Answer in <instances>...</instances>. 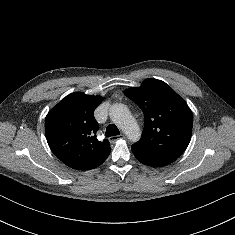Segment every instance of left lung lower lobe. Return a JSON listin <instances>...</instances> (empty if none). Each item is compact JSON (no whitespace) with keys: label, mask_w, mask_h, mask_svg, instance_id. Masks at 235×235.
Wrapping results in <instances>:
<instances>
[{"label":"left lung lower lobe","mask_w":235,"mask_h":235,"mask_svg":"<svg viewBox=\"0 0 235 235\" xmlns=\"http://www.w3.org/2000/svg\"><path fill=\"white\" fill-rule=\"evenodd\" d=\"M131 150L138 161L152 167L165 166L177 159L176 157L166 154L144 151L135 147L134 145L131 146Z\"/></svg>","instance_id":"left-lung-lower-lobe-1"}]
</instances>
